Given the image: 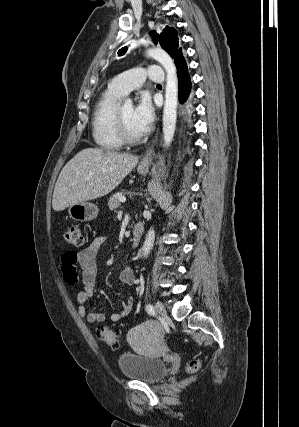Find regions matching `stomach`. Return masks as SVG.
<instances>
[{"instance_id":"0dacf381","label":"stomach","mask_w":299,"mask_h":427,"mask_svg":"<svg viewBox=\"0 0 299 427\" xmlns=\"http://www.w3.org/2000/svg\"><path fill=\"white\" fill-rule=\"evenodd\" d=\"M137 171L141 175H146L149 171L148 166H139ZM98 207L89 202H81L77 204L70 205L68 207V214L70 218L75 221H91L95 219L98 215Z\"/></svg>"}]
</instances>
